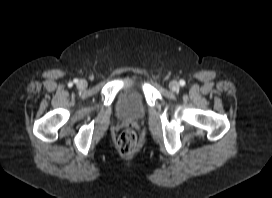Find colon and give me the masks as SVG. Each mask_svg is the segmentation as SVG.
I'll list each match as a JSON object with an SVG mask.
<instances>
[{
    "label": "colon",
    "mask_w": 272,
    "mask_h": 198,
    "mask_svg": "<svg viewBox=\"0 0 272 198\" xmlns=\"http://www.w3.org/2000/svg\"><path fill=\"white\" fill-rule=\"evenodd\" d=\"M117 146L122 154H131L137 147V135L132 128H125L117 139Z\"/></svg>",
    "instance_id": "obj_1"
}]
</instances>
